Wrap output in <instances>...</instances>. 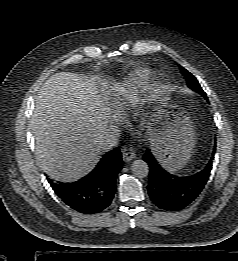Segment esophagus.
Returning a JSON list of instances; mask_svg holds the SVG:
<instances>
[{"mask_svg":"<svg viewBox=\"0 0 238 261\" xmlns=\"http://www.w3.org/2000/svg\"><path fill=\"white\" fill-rule=\"evenodd\" d=\"M135 151L134 149H132L131 147H128V146H124L122 148V156H123V160L125 162H129L131 161L132 159L135 158Z\"/></svg>","mask_w":238,"mask_h":261,"instance_id":"34e87169","label":"esophagus"}]
</instances>
